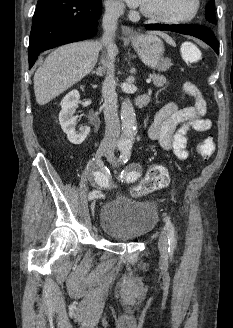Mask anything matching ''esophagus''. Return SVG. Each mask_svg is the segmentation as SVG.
<instances>
[{"label": "esophagus", "instance_id": "1", "mask_svg": "<svg viewBox=\"0 0 233 328\" xmlns=\"http://www.w3.org/2000/svg\"><path fill=\"white\" fill-rule=\"evenodd\" d=\"M122 33L130 39H134L138 36L137 32L128 26H122Z\"/></svg>", "mask_w": 233, "mask_h": 328}]
</instances>
